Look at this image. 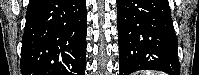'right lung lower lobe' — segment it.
I'll return each mask as SVG.
<instances>
[{
	"mask_svg": "<svg viewBox=\"0 0 199 75\" xmlns=\"http://www.w3.org/2000/svg\"><path fill=\"white\" fill-rule=\"evenodd\" d=\"M85 0H29L22 75H85Z\"/></svg>",
	"mask_w": 199,
	"mask_h": 75,
	"instance_id": "obj_1",
	"label": "right lung lower lobe"
}]
</instances>
